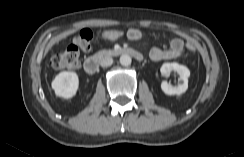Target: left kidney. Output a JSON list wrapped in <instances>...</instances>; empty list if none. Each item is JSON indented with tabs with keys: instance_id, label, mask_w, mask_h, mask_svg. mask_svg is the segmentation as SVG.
I'll return each instance as SVG.
<instances>
[{
	"instance_id": "left-kidney-1",
	"label": "left kidney",
	"mask_w": 244,
	"mask_h": 157,
	"mask_svg": "<svg viewBox=\"0 0 244 157\" xmlns=\"http://www.w3.org/2000/svg\"><path fill=\"white\" fill-rule=\"evenodd\" d=\"M161 74L168 76L172 71L179 74V82L177 86H172L171 84L163 81L161 84V89L167 95H181L188 89V78L190 76V70L178 63H164L161 66Z\"/></svg>"
}]
</instances>
